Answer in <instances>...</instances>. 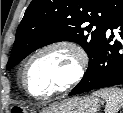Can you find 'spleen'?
I'll use <instances>...</instances> for the list:
<instances>
[{
    "label": "spleen",
    "mask_w": 123,
    "mask_h": 113,
    "mask_svg": "<svg viewBox=\"0 0 123 113\" xmlns=\"http://www.w3.org/2000/svg\"><path fill=\"white\" fill-rule=\"evenodd\" d=\"M94 96L106 101L105 113H117L123 107V89L106 88L96 91Z\"/></svg>",
    "instance_id": "obj_1"
}]
</instances>
